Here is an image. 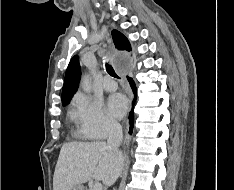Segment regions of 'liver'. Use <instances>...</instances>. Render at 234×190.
<instances>
[{"instance_id":"obj_1","label":"liver","mask_w":234,"mask_h":190,"mask_svg":"<svg viewBox=\"0 0 234 190\" xmlns=\"http://www.w3.org/2000/svg\"><path fill=\"white\" fill-rule=\"evenodd\" d=\"M124 163L105 142H70L61 147L53 176V190H71L90 179L111 185Z\"/></svg>"}]
</instances>
